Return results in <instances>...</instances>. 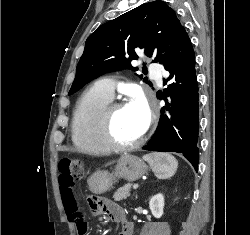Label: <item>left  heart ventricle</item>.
I'll return each instance as SVG.
<instances>
[{"label":"left heart ventricle","instance_id":"b2bd125f","mask_svg":"<svg viewBox=\"0 0 250 235\" xmlns=\"http://www.w3.org/2000/svg\"><path fill=\"white\" fill-rule=\"evenodd\" d=\"M112 133L120 143H131L142 135L139 119L129 106L116 112L112 123Z\"/></svg>","mask_w":250,"mask_h":235}]
</instances>
